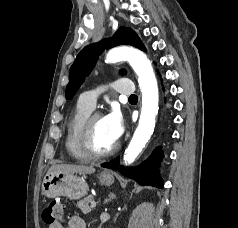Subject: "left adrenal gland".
I'll return each instance as SVG.
<instances>
[{
    "mask_svg": "<svg viewBox=\"0 0 238 228\" xmlns=\"http://www.w3.org/2000/svg\"><path fill=\"white\" fill-rule=\"evenodd\" d=\"M115 198H116V195L113 192H110L109 198H107L104 203L110 202L111 200Z\"/></svg>",
    "mask_w": 238,
    "mask_h": 228,
    "instance_id": "left-adrenal-gland-1",
    "label": "left adrenal gland"
}]
</instances>
